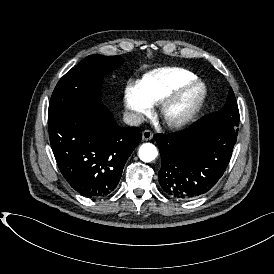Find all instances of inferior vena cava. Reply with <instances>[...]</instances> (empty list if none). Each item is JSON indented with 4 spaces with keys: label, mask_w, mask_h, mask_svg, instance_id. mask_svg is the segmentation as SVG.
<instances>
[{
    "label": "inferior vena cava",
    "mask_w": 274,
    "mask_h": 274,
    "mask_svg": "<svg viewBox=\"0 0 274 274\" xmlns=\"http://www.w3.org/2000/svg\"><path fill=\"white\" fill-rule=\"evenodd\" d=\"M145 121L141 113L124 112V122L130 126H138Z\"/></svg>",
    "instance_id": "602c4592"
}]
</instances>
